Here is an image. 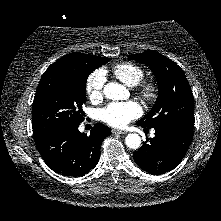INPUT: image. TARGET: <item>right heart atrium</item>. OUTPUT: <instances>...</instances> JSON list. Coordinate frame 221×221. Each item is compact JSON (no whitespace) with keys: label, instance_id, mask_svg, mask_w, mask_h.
I'll list each match as a JSON object with an SVG mask.
<instances>
[{"label":"right heart atrium","instance_id":"obj_1","mask_svg":"<svg viewBox=\"0 0 221 221\" xmlns=\"http://www.w3.org/2000/svg\"><path fill=\"white\" fill-rule=\"evenodd\" d=\"M106 75L102 69L93 71L85 83V91L91 101H99L103 97Z\"/></svg>","mask_w":221,"mask_h":221}]
</instances>
